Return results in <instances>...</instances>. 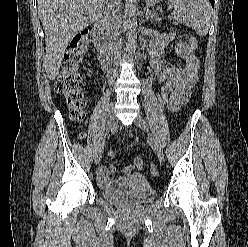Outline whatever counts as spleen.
<instances>
[{
  "label": "spleen",
  "mask_w": 248,
  "mask_h": 247,
  "mask_svg": "<svg viewBox=\"0 0 248 247\" xmlns=\"http://www.w3.org/2000/svg\"><path fill=\"white\" fill-rule=\"evenodd\" d=\"M174 5L173 19L195 29L199 36L208 33L211 5L208 0H169Z\"/></svg>",
  "instance_id": "3e777b00"
}]
</instances>
